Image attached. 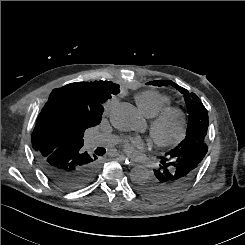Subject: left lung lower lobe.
<instances>
[{"instance_id": "left-lung-lower-lobe-1", "label": "left lung lower lobe", "mask_w": 245, "mask_h": 245, "mask_svg": "<svg viewBox=\"0 0 245 245\" xmlns=\"http://www.w3.org/2000/svg\"><path fill=\"white\" fill-rule=\"evenodd\" d=\"M207 151L204 142H195L167 153L155 176L138 186L139 192L158 202L175 197L192 181Z\"/></svg>"}]
</instances>
